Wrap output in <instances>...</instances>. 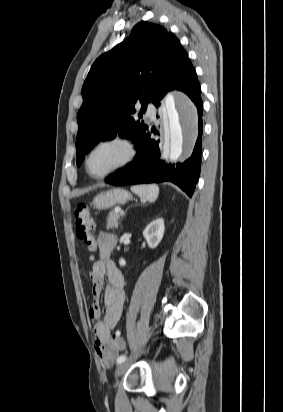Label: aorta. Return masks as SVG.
I'll return each mask as SVG.
<instances>
[{
  "label": "aorta",
  "instance_id": "762f6f07",
  "mask_svg": "<svg viewBox=\"0 0 283 412\" xmlns=\"http://www.w3.org/2000/svg\"><path fill=\"white\" fill-rule=\"evenodd\" d=\"M168 116V152L171 161H176L184 147L196 135L197 111L191 100L183 95H168L165 101Z\"/></svg>",
  "mask_w": 283,
  "mask_h": 412
}]
</instances>
